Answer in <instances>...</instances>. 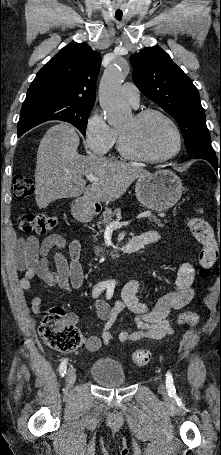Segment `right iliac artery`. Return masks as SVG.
Instances as JSON below:
<instances>
[{
    "mask_svg": "<svg viewBox=\"0 0 221 455\" xmlns=\"http://www.w3.org/2000/svg\"><path fill=\"white\" fill-rule=\"evenodd\" d=\"M108 287H109V284L106 282L98 283L93 289V292H92L93 298H97L101 294V292L105 288H108ZM66 369H67V360L64 359L59 366V373L62 377L66 374Z\"/></svg>",
    "mask_w": 221,
    "mask_h": 455,
    "instance_id": "obj_1",
    "label": "right iliac artery"
}]
</instances>
